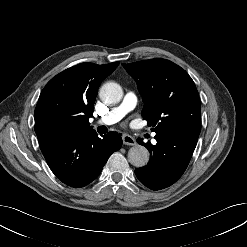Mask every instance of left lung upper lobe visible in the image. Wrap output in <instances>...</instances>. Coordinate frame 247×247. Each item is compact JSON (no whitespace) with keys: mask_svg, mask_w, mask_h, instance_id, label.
<instances>
[{"mask_svg":"<svg viewBox=\"0 0 247 247\" xmlns=\"http://www.w3.org/2000/svg\"><path fill=\"white\" fill-rule=\"evenodd\" d=\"M137 82L143 97L142 116L156 134L172 127L199 136L201 107L191 77L178 65L165 59L123 64Z\"/></svg>","mask_w":247,"mask_h":247,"instance_id":"1","label":"left lung upper lobe"}]
</instances>
